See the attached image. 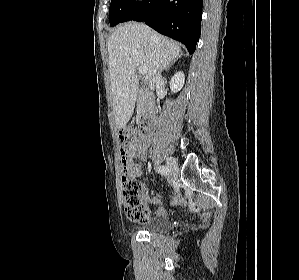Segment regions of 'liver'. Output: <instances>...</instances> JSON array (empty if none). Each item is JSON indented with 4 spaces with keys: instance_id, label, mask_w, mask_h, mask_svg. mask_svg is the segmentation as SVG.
Wrapping results in <instances>:
<instances>
[{
    "instance_id": "obj_1",
    "label": "liver",
    "mask_w": 299,
    "mask_h": 280,
    "mask_svg": "<svg viewBox=\"0 0 299 280\" xmlns=\"http://www.w3.org/2000/svg\"><path fill=\"white\" fill-rule=\"evenodd\" d=\"M113 113L118 129L133 115L139 90L136 68H147L146 80L182 55L180 46L143 23L129 22L108 39Z\"/></svg>"
}]
</instances>
